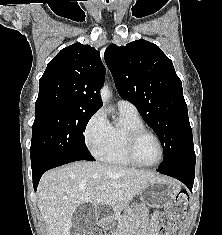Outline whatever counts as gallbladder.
Returning a JSON list of instances; mask_svg holds the SVG:
<instances>
[{"instance_id": "obj_1", "label": "gallbladder", "mask_w": 222, "mask_h": 235, "mask_svg": "<svg viewBox=\"0 0 222 235\" xmlns=\"http://www.w3.org/2000/svg\"><path fill=\"white\" fill-rule=\"evenodd\" d=\"M95 224V209L91 203L79 205L72 216L70 235H87Z\"/></svg>"}]
</instances>
